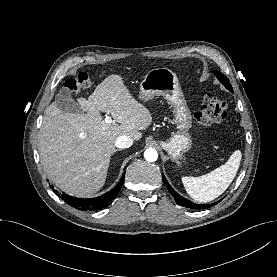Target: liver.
Wrapping results in <instances>:
<instances>
[{"label":"liver","instance_id":"liver-1","mask_svg":"<svg viewBox=\"0 0 277 277\" xmlns=\"http://www.w3.org/2000/svg\"><path fill=\"white\" fill-rule=\"evenodd\" d=\"M82 113H66L56 102L45 110L38 149L49 181L67 194L87 197L104 185L115 141L128 135L138 141L152 123V114L139 103L119 75H110L88 99L77 98ZM100 111L118 124L106 123Z\"/></svg>","mask_w":277,"mask_h":277}]
</instances>
